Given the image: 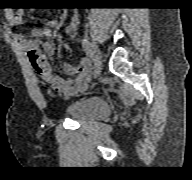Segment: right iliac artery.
Masks as SVG:
<instances>
[{"mask_svg":"<svg viewBox=\"0 0 192 180\" xmlns=\"http://www.w3.org/2000/svg\"><path fill=\"white\" fill-rule=\"evenodd\" d=\"M82 46H83V49H84V51L86 53L87 60H88L89 64H91V62L94 61V54H93V51H92V44L87 39H83L82 40Z\"/></svg>","mask_w":192,"mask_h":180,"instance_id":"82829eb1","label":"right iliac artery"}]
</instances>
